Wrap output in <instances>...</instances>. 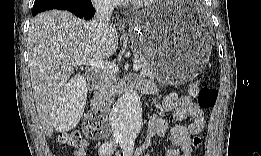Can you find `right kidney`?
I'll list each match as a JSON object with an SVG mask.
<instances>
[{
  "mask_svg": "<svg viewBox=\"0 0 261 156\" xmlns=\"http://www.w3.org/2000/svg\"><path fill=\"white\" fill-rule=\"evenodd\" d=\"M81 82H84V80H83V79H80V83H81ZM76 84H77V83H76ZM76 84H75V85H76Z\"/></svg>",
  "mask_w": 261,
  "mask_h": 156,
  "instance_id": "1",
  "label": "right kidney"
}]
</instances>
